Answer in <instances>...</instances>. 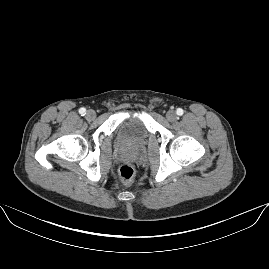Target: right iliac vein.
I'll return each instance as SVG.
<instances>
[{
  "label": "right iliac vein",
  "instance_id": "63e3f726",
  "mask_svg": "<svg viewBox=\"0 0 269 269\" xmlns=\"http://www.w3.org/2000/svg\"><path fill=\"white\" fill-rule=\"evenodd\" d=\"M85 118L87 120H89V121L95 119L96 118V112L94 110H91V109L87 110Z\"/></svg>",
  "mask_w": 269,
  "mask_h": 269
}]
</instances>
